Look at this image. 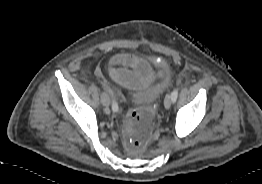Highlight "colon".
<instances>
[{"instance_id":"colon-1","label":"colon","mask_w":262,"mask_h":184,"mask_svg":"<svg viewBox=\"0 0 262 184\" xmlns=\"http://www.w3.org/2000/svg\"><path fill=\"white\" fill-rule=\"evenodd\" d=\"M153 114L150 110H134L126 123V145L133 152L142 151L151 136Z\"/></svg>"}]
</instances>
